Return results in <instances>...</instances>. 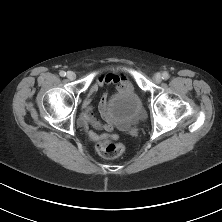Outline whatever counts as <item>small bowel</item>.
Segmentation results:
<instances>
[{
  "instance_id": "small-bowel-1",
  "label": "small bowel",
  "mask_w": 222,
  "mask_h": 222,
  "mask_svg": "<svg viewBox=\"0 0 222 222\" xmlns=\"http://www.w3.org/2000/svg\"><path fill=\"white\" fill-rule=\"evenodd\" d=\"M106 85H115L119 92H124L126 90H132V84L130 83L127 76L123 73H101L98 76L97 83L92 87L89 96L83 104V121L85 124L91 125L97 130H103L107 133L113 132L115 126L112 120L110 119L107 113L108 107V94L103 93L101 100L99 102V110L104 119V122L100 121L93 113L92 99L97 91L106 86ZM91 139L94 141L106 140L108 138H115L114 135H97L93 132H90Z\"/></svg>"
}]
</instances>
